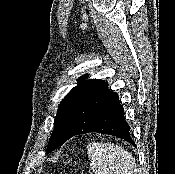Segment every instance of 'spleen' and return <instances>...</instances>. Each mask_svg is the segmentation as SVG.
<instances>
[{
    "mask_svg": "<svg viewBox=\"0 0 175 174\" xmlns=\"http://www.w3.org/2000/svg\"><path fill=\"white\" fill-rule=\"evenodd\" d=\"M90 169L95 174H136L132 155L114 143H90L87 148Z\"/></svg>",
    "mask_w": 175,
    "mask_h": 174,
    "instance_id": "1",
    "label": "spleen"
}]
</instances>
